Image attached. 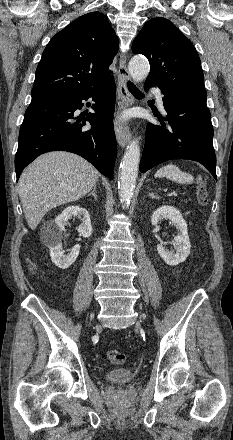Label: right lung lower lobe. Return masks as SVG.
I'll return each mask as SVG.
<instances>
[{"label": "right lung lower lobe", "mask_w": 233, "mask_h": 440, "mask_svg": "<svg viewBox=\"0 0 233 440\" xmlns=\"http://www.w3.org/2000/svg\"><path fill=\"white\" fill-rule=\"evenodd\" d=\"M115 83L111 80L84 92L61 94L32 100L20 128L15 157L17 180L22 170L36 157L53 150L76 153L93 164L103 175L113 179L117 154L113 128ZM102 89L106 94L101 97ZM93 98L95 113L82 121L74 116L82 100ZM82 121V123H80ZM86 121L91 129L84 128Z\"/></svg>", "instance_id": "1"}]
</instances>
